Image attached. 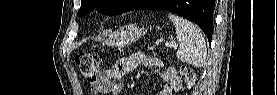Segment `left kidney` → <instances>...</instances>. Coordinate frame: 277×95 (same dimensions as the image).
<instances>
[{
	"label": "left kidney",
	"mask_w": 277,
	"mask_h": 95,
	"mask_svg": "<svg viewBox=\"0 0 277 95\" xmlns=\"http://www.w3.org/2000/svg\"><path fill=\"white\" fill-rule=\"evenodd\" d=\"M180 83L179 79L178 78H174L173 80V86L171 87V89H175L177 88V85Z\"/></svg>",
	"instance_id": "5707ae66"
}]
</instances>
